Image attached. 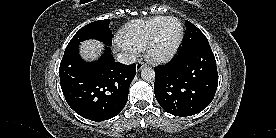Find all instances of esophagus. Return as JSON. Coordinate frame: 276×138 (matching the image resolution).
<instances>
[{
  "mask_svg": "<svg viewBox=\"0 0 276 138\" xmlns=\"http://www.w3.org/2000/svg\"><path fill=\"white\" fill-rule=\"evenodd\" d=\"M145 66L143 61H138L136 64V71H140Z\"/></svg>",
  "mask_w": 276,
  "mask_h": 138,
  "instance_id": "esophagus-1",
  "label": "esophagus"
}]
</instances>
